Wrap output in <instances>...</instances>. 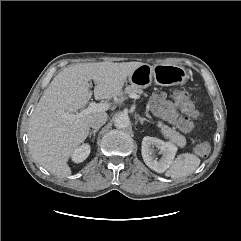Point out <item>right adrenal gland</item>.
Instances as JSON below:
<instances>
[{
	"instance_id": "2a0ac1e0",
	"label": "right adrenal gland",
	"mask_w": 241,
	"mask_h": 241,
	"mask_svg": "<svg viewBox=\"0 0 241 241\" xmlns=\"http://www.w3.org/2000/svg\"><path fill=\"white\" fill-rule=\"evenodd\" d=\"M99 131V129H94L91 132H89L88 136L91 137L93 136L95 138V134Z\"/></svg>"
}]
</instances>
